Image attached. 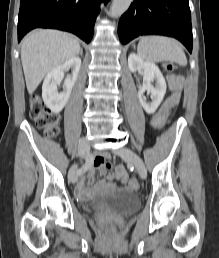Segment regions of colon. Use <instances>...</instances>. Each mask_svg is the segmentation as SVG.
<instances>
[{"label":"colon","instance_id":"colon-1","mask_svg":"<svg viewBox=\"0 0 219 258\" xmlns=\"http://www.w3.org/2000/svg\"><path fill=\"white\" fill-rule=\"evenodd\" d=\"M165 69L168 72H173L176 69V65L170 62L166 63ZM170 108V104L163 105L153 116L151 126L155 132H160L162 130ZM30 115L36 125L47 135L55 136L58 134L61 122L60 117L51 112L44 104L43 100L38 96H34L31 99ZM128 185L134 191H137L140 187L136 179H131Z\"/></svg>","mask_w":219,"mask_h":258}]
</instances>
